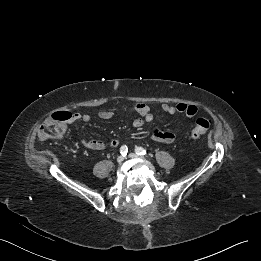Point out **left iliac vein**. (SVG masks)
I'll list each match as a JSON object with an SVG mask.
<instances>
[{
	"instance_id": "obj_1",
	"label": "left iliac vein",
	"mask_w": 261,
	"mask_h": 261,
	"mask_svg": "<svg viewBox=\"0 0 261 261\" xmlns=\"http://www.w3.org/2000/svg\"><path fill=\"white\" fill-rule=\"evenodd\" d=\"M129 157L132 158V159H145L144 157H141V156H139L135 153H130Z\"/></svg>"
}]
</instances>
